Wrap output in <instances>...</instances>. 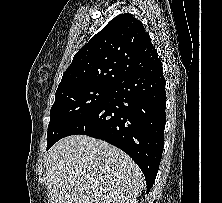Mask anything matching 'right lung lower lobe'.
I'll use <instances>...</instances> for the list:
<instances>
[{"label":"right lung lower lobe","mask_w":222,"mask_h":203,"mask_svg":"<svg viewBox=\"0 0 222 203\" xmlns=\"http://www.w3.org/2000/svg\"><path fill=\"white\" fill-rule=\"evenodd\" d=\"M165 107V79L158 58L115 83L107 99L69 125L57 141L83 134L120 148L142 170L149 192L162 157Z\"/></svg>","instance_id":"right-lung-lower-lobe-1"}]
</instances>
